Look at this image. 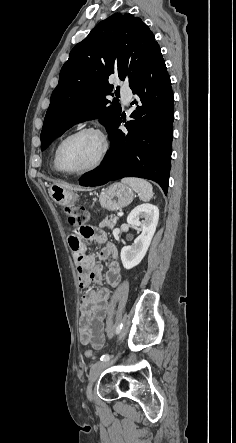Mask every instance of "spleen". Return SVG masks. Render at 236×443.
Returning <instances> with one entry per match:
<instances>
[{"label":"spleen","mask_w":236,"mask_h":443,"mask_svg":"<svg viewBox=\"0 0 236 443\" xmlns=\"http://www.w3.org/2000/svg\"><path fill=\"white\" fill-rule=\"evenodd\" d=\"M123 184L130 186L143 201H149L153 197L152 185L141 178H123L121 180Z\"/></svg>","instance_id":"1"}]
</instances>
